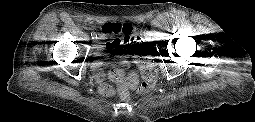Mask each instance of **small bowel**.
I'll list each match as a JSON object with an SVG mask.
<instances>
[{
    "label": "small bowel",
    "mask_w": 255,
    "mask_h": 122,
    "mask_svg": "<svg viewBox=\"0 0 255 122\" xmlns=\"http://www.w3.org/2000/svg\"><path fill=\"white\" fill-rule=\"evenodd\" d=\"M119 24L123 25L124 23H119ZM98 35L100 39H103L105 37V32L103 31V29H102V32L99 33ZM127 45H130V43H129V38L126 35L124 34L116 35L114 39H112L111 41H109L107 44H105L99 49V54L101 56H105L109 54L111 51L117 50L120 47L127 46ZM101 66H102L101 61H96L92 65L93 70L98 76H100ZM101 85H100V90H101Z\"/></svg>",
    "instance_id": "obj_1"
}]
</instances>
